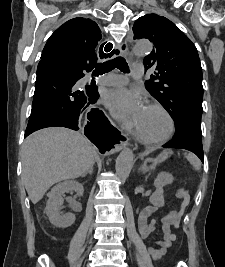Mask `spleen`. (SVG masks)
Wrapping results in <instances>:
<instances>
[{"label": "spleen", "instance_id": "1", "mask_svg": "<svg viewBox=\"0 0 225 267\" xmlns=\"http://www.w3.org/2000/svg\"><path fill=\"white\" fill-rule=\"evenodd\" d=\"M185 157L190 161V163L194 166L199 168L200 167V162L198 158L193 155V154H185Z\"/></svg>", "mask_w": 225, "mask_h": 267}]
</instances>
